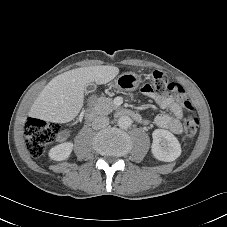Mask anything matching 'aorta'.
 <instances>
[{
	"label": "aorta",
	"mask_w": 227,
	"mask_h": 227,
	"mask_svg": "<svg viewBox=\"0 0 227 227\" xmlns=\"http://www.w3.org/2000/svg\"><path fill=\"white\" fill-rule=\"evenodd\" d=\"M131 124H132V120L129 116H121L118 119V126L120 128H123V129L129 128Z\"/></svg>",
	"instance_id": "obj_1"
}]
</instances>
